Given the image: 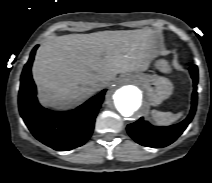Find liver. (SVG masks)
<instances>
[{
    "label": "liver",
    "mask_w": 212,
    "mask_h": 183,
    "mask_svg": "<svg viewBox=\"0 0 212 183\" xmlns=\"http://www.w3.org/2000/svg\"><path fill=\"white\" fill-rule=\"evenodd\" d=\"M154 31L122 30L69 34L45 42L32 67L43 105L66 107L90 98L94 83L117 74L146 71L158 55Z\"/></svg>",
    "instance_id": "6515ba94"
}]
</instances>
